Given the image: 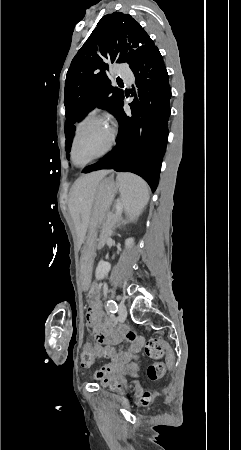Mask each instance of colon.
<instances>
[{"instance_id": "obj_1", "label": "colon", "mask_w": 241, "mask_h": 450, "mask_svg": "<svg viewBox=\"0 0 241 450\" xmlns=\"http://www.w3.org/2000/svg\"><path fill=\"white\" fill-rule=\"evenodd\" d=\"M93 344L91 342H85L83 344V350L81 352V357L83 359V364L87 369H90L94 364L93 359ZM172 346L169 342L165 340H159L157 338H150L144 345V351L147 356H150L156 360L162 357L164 354V362H156L151 364L147 369V375L149 379L157 380L162 377L166 368H171L173 363V355L175 354L172 351ZM153 400V395L150 391H145L143 398L141 399V406H148Z\"/></svg>"}]
</instances>
